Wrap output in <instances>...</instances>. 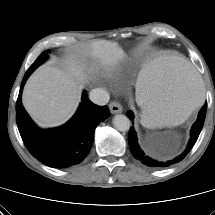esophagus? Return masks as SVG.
Returning <instances> with one entry per match:
<instances>
[{
	"label": "esophagus",
	"mask_w": 215,
	"mask_h": 215,
	"mask_svg": "<svg viewBox=\"0 0 215 215\" xmlns=\"http://www.w3.org/2000/svg\"><path fill=\"white\" fill-rule=\"evenodd\" d=\"M109 108L112 114L121 113L123 111L121 104L117 101H112L109 104Z\"/></svg>",
	"instance_id": "34e87169"
}]
</instances>
